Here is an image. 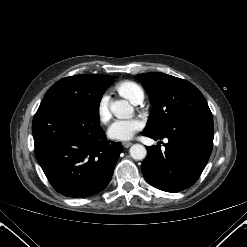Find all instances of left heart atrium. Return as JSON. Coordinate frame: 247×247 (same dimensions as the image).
I'll list each match as a JSON object with an SVG mask.
<instances>
[{
    "label": "left heart atrium",
    "mask_w": 247,
    "mask_h": 247,
    "mask_svg": "<svg viewBox=\"0 0 247 247\" xmlns=\"http://www.w3.org/2000/svg\"><path fill=\"white\" fill-rule=\"evenodd\" d=\"M143 128V122L137 118L120 119L111 124L108 136L113 140L127 141Z\"/></svg>",
    "instance_id": "left-heart-atrium-1"
}]
</instances>
